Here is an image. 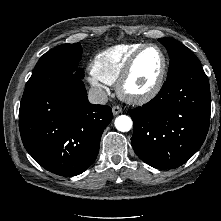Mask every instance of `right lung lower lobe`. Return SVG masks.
Segmentation results:
<instances>
[{"label": "right lung lower lobe", "mask_w": 221, "mask_h": 221, "mask_svg": "<svg viewBox=\"0 0 221 221\" xmlns=\"http://www.w3.org/2000/svg\"><path fill=\"white\" fill-rule=\"evenodd\" d=\"M107 105L88 102L81 78L31 77L19 110L24 147L33 159L60 176H76L96 159L101 135L112 120Z\"/></svg>", "instance_id": "right-lung-lower-lobe-1"}]
</instances>
